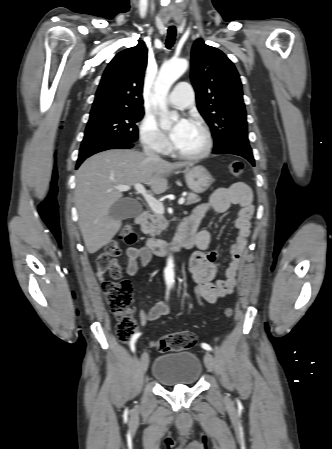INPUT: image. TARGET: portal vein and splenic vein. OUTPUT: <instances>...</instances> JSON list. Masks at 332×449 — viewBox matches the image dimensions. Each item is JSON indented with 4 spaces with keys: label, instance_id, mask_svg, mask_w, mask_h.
<instances>
[{
    "label": "portal vein and splenic vein",
    "instance_id": "obj_1",
    "mask_svg": "<svg viewBox=\"0 0 332 449\" xmlns=\"http://www.w3.org/2000/svg\"><path fill=\"white\" fill-rule=\"evenodd\" d=\"M133 186L136 189V191L144 197V199L146 200L150 208L153 210V212L158 214L164 213L163 204L158 200H156V198H154L151 194L147 193L145 187L141 183H135L133 184ZM115 188L121 192H125L131 189V185H117ZM184 202H185L184 197H181L178 200V203L180 205L184 204Z\"/></svg>",
    "mask_w": 332,
    "mask_h": 449
}]
</instances>
